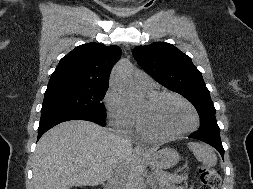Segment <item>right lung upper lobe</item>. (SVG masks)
Returning <instances> with one entry per match:
<instances>
[{"label":"right lung upper lobe","mask_w":253,"mask_h":189,"mask_svg":"<svg viewBox=\"0 0 253 189\" xmlns=\"http://www.w3.org/2000/svg\"><path fill=\"white\" fill-rule=\"evenodd\" d=\"M121 56L118 46L88 43L63 57L51 75L48 88L61 86H109V75Z\"/></svg>","instance_id":"right-lung-upper-lobe-1"}]
</instances>
